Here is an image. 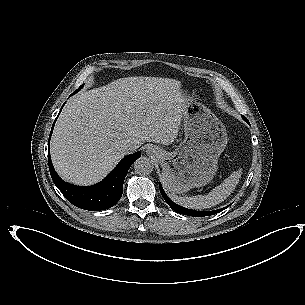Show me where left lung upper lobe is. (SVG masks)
Returning <instances> with one entry per match:
<instances>
[{"mask_svg": "<svg viewBox=\"0 0 305 305\" xmlns=\"http://www.w3.org/2000/svg\"><path fill=\"white\" fill-rule=\"evenodd\" d=\"M175 211L180 213V214H184V215H188V216H193V217H204L205 216L204 212L190 210V209L181 207L179 205L176 206V210Z\"/></svg>", "mask_w": 305, "mask_h": 305, "instance_id": "obj_1", "label": "left lung upper lobe"}]
</instances>
